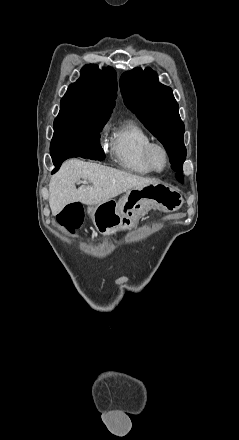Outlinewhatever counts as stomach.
<instances>
[{"label": "stomach", "mask_w": 239, "mask_h": 440, "mask_svg": "<svg viewBox=\"0 0 239 440\" xmlns=\"http://www.w3.org/2000/svg\"><path fill=\"white\" fill-rule=\"evenodd\" d=\"M182 204L183 198L174 188L165 184H150L145 188L128 190L118 202L109 200L95 208L88 206L87 214L99 234L112 236L120 230H132L153 206L162 212H176Z\"/></svg>", "instance_id": "1"}]
</instances>
